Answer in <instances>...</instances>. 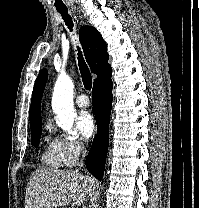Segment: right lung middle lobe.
Masks as SVG:
<instances>
[{
	"label": "right lung middle lobe",
	"instance_id": "1",
	"mask_svg": "<svg viewBox=\"0 0 199 208\" xmlns=\"http://www.w3.org/2000/svg\"><path fill=\"white\" fill-rule=\"evenodd\" d=\"M41 137V126L31 130V144L35 147L38 146Z\"/></svg>",
	"mask_w": 199,
	"mask_h": 208
}]
</instances>
